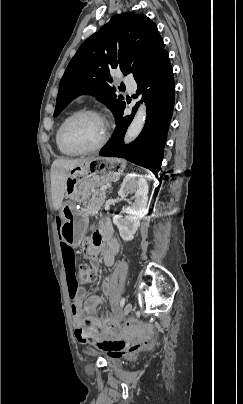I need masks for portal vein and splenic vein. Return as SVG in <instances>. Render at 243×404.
<instances>
[{
    "label": "portal vein and splenic vein",
    "instance_id": "obj_1",
    "mask_svg": "<svg viewBox=\"0 0 243 404\" xmlns=\"http://www.w3.org/2000/svg\"><path fill=\"white\" fill-rule=\"evenodd\" d=\"M100 190H107V186H102V188H100Z\"/></svg>",
    "mask_w": 243,
    "mask_h": 404
}]
</instances>
